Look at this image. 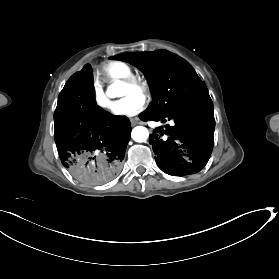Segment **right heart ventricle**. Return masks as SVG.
<instances>
[{
  "instance_id": "right-heart-ventricle-1",
  "label": "right heart ventricle",
  "mask_w": 279,
  "mask_h": 279,
  "mask_svg": "<svg viewBox=\"0 0 279 279\" xmlns=\"http://www.w3.org/2000/svg\"><path fill=\"white\" fill-rule=\"evenodd\" d=\"M99 72L103 75L104 81L109 84L120 82L134 75L131 66L123 61H108L100 67Z\"/></svg>"
}]
</instances>
